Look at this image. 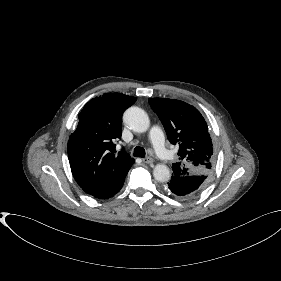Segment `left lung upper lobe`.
<instances>
[{
	"label": "left lung upper lobe",
	"mask_w": 281,
	"mask_h": 281,
	"mask_svg": "<svg viewBox=\"0 0 281 281\" xmlns=\"http://www.w3.org/2000/svg\"><path fill=\"white\" fill-rule=\"evenodd\" d=\"M148 101L170 143L179 146L180 161L173 164V176L207 175L209 178L215 165V152L200 112L179 100L149 98Z\"/></svg>",
	"instance_id": "obj_1"
}]
</instances>
